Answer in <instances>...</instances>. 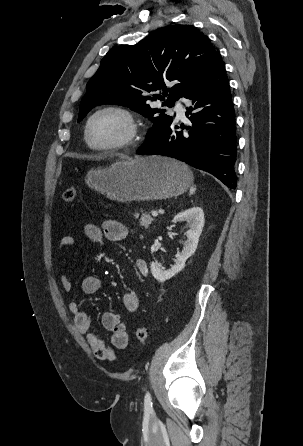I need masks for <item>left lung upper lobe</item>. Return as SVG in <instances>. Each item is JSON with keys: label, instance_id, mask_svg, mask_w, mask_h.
<instances>
[{"label": "left lung upper lobe", "instance_id": "obj_1", "mask_svg": "<svg viewBox=\"0 0 303 446\" xmlns=\"http://www.w3.org/2000/svg\"><path fill=\"white\" fill-rule=\"evenodd\" d=\"M219 54L208 37L191 25H173L158 29L135 45L112 48L88 81L81 100L78 122L95 106L118 104L148 117L153 127L147 142L173 121L163 109H153L149 102L165 100L147 92L161 90L172 107L211 67ZM174 82L167 89L168 82Z\"/></svg>", "mask_w": 303, "mask_h": 446}]
</instances>
